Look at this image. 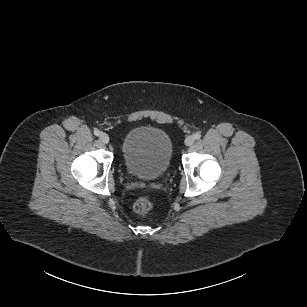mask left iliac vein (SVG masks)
<instances>
[{
  "label": "left iliac vein",
  "instance_id": "4c4485c4",
  "mask_svg": "<svg viewBox=\"0 0 307 307\" xmlns=\"http://www.w3.org/2000/svg\"><path fill=\"white\" fill-rule=\"evenodd\" d=\"M195 139L193 136H188L186 139H185V145L187 146H191L193 143H194Z\"/></svg>",
  "mask_w": 307,
  "mask_h": 307
}]
</instances>
